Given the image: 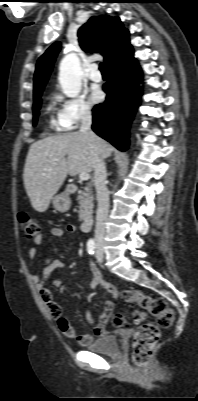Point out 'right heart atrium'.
I'll use <instances>...</instances> for the list:
<instances>
[{"label": "right heart atrium", "mask_w": 198, "mask_h": 401, "mask_svg": "<svg viewBox=\"0 0 198 401\" xmlns=\"http://www.w3.org/2000/svg\"><path fill=\"white\" fill-rule=\"evenodd\" d=\"M59 104L58 123L64 130H74L82 123L89 121L93 117L91 104L81 96L65 97L60 92L53 95Z\"/></svg>", "instance_id": "1"}]
</instances>
